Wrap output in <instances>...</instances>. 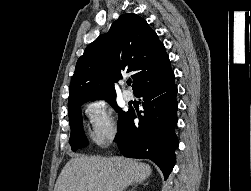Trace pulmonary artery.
Masks as SVG:
<instances>
[{"label": "pulmonary artery", "instance_id": "obj_1", "mask_svg": "<svg viewBox=\"0 0 251 191\" xmlns=\"http://www.w3.org/2000/svg\"><path fill=\"white\" fill-rule=\"evenodd\" d=\"M125 83H126V82H125L124 79L120 80V84H121L122 86H124ZM122 95H123L124 99L127 100V101H130V100H132V99L134 98L132 91L127 90V89H125V88H124L123 91H122Z\"/></svg>", "mask_w": 251, "mask_h": 191}]
</instances>
